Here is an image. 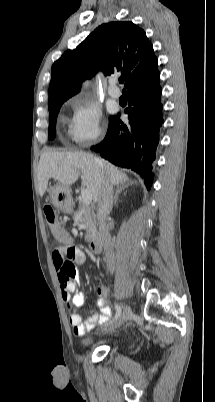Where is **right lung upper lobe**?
<instances>
[{
	"label": "right lung upper lobe",
	"mask_w": 215,
	"mask_h": 402,
	"mask_svg": "<svg viewBox=\"0 0 215 402\" xmlns=\"http://www.w3.org/2000/svg\"><path fill=\"white\" fill-rule=\"evenodd\" d=\"M100 70L105 75L121 72L128 90L160 75L153 46L141 28L129 21L102 24L54 62L48 105L77 94L82 82Z\"/></svg>",
	"instance_id": "right-lung-upper-lobe-1"
}]
</instances>
